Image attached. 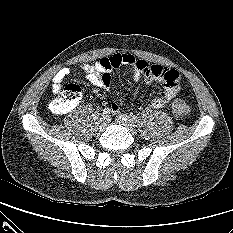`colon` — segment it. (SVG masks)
<instances>
[{"instance_id":"colon-1","label":"colon","mask_w":233,"mask_h":233,"mask_svg":"<svg viewBox=\"0 0 233 233\" xmlns=\"http://www.w3.org/2000/svg\"><path fill=\"white\" fill-rule=\"evenodd\" d=\"M57 98L50 103V109L57 114H65L78 104L81 89L77 84L70 83L58 92ZM172 113L177 119H184L190 114L189 105L182 99H176L172 104Z\"/></svg>"}]
</instances>
